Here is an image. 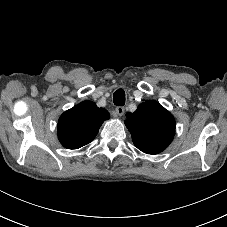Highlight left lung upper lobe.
<instances>
[{
    "label": "left lung upper lobe",
    "mask_w": 227,
    "mask_h": 227,
    "mask_svg": "<svg viewBox=\"0 0 227 227\" xmlns=\"http://www.w3.org/2000/svg\"><path fill=\"white\" fill-rule=\"evenodd\" d=\"M125 124L134 145L144 153L158 154L171 143L175 119L156 101L140 104L134 113L128 112Z\"/></svg>",
    "instance_id": "obj_1"
}]
</instances>
